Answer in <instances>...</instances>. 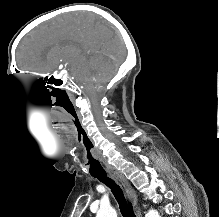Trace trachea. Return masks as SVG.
I'll use <instances>...</instances> for the list:
<instances>
[{"label": "trachea", "instance_id": "obj_1", "mask_svg": "<svg viewBox=\"0 0 219 217\" xmlns=\"http://www.w3.org/2000/svg\"><path fill=\"white\" fill-rule=\"evenodd\" d=\"M90 174L111 189L119 204V208L123 217H136L133 212L132 205L127 202L124 192L119 184H117L111 177L107 176L104 170L94 173L91 172Z\"/></svg>", "mask_w": 219, "mask_h": 217}]
</instances>
